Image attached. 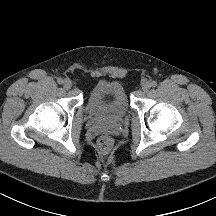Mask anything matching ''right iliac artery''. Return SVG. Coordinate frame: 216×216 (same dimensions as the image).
Instances as JSON below:
<instances>
[{
	"instance_id": "82829eb1",
	"label": "right iliac artery",
	"mask_w": 216,
	"mask_h": 216,
	"mask_svg": "<svg viewBox=\"0 0 216 216\" xmlns=\"http://www.w3.org/2000/svg\"><path fill=\"white\" fill-rule=\"evenodd\" d=\"M57 82H58V84H62L63 83V79L62 78H58Z\"/></svg>"
}]
</instances>
